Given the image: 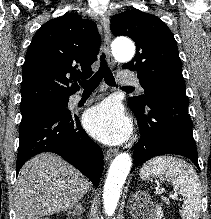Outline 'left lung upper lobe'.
Segmentation results:
<instances>
[{
  "label": "left lung upper lobe",
  "instance_id": "5c2ea615",
  "mask_svg": "<svg viewBox=\"0 0 211 219\" xmlns=\"http://www.w3.org/2000/svg\"><path fill=\"white\" fill-rule=\"evenodd\" d=\"M114 36H128L136 43V55L122 66L138 72L144 95L131 97L129 107L143 109L147 95L156 91L185 92L182 63L177 43L168 26L158 17L137 9L121 12L111 18Z\"/></svg>",
  "mask_w": 211,
  "mask_h": 219
}]
</instances>
